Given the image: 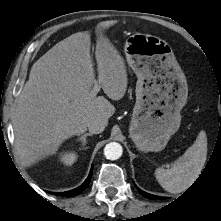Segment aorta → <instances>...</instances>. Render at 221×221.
<instances>
[{
    "label": "aorta",
    "instance_id": "1",
    "mask_svg": "<svg viewBox=\"0 0 221 221\" xmlns=\"http://www.w3.org/2000/svg\"><path fill=\"white\" fill-rule=\"evenodd\" d=\"M122 146L117 142L108 143L104 148V155L109 160H117L122 155Z\"/></svg>",
    "mask_w": 221,
    "mask_h": 221
}]
</instances>
